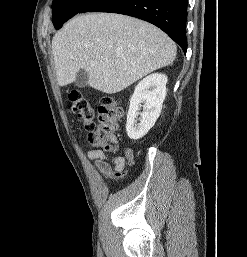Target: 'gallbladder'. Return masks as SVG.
Masks as SVG:
<instances>
[{"instance_id":"1","label":"gallbladder","mask_w":247,"mask_h":257,"mask_svg":"<svg viewBox=\"0 0 247 257\" xmlns=\"http://www.w3.org/2000/svg\"><path fill=\"white\" fill-rule=\"evenodd\" d=\"M88 84V73L84 69L77 72L75 85L79 88H84Z\"/></svg>"}]
</instances>
